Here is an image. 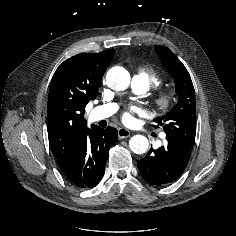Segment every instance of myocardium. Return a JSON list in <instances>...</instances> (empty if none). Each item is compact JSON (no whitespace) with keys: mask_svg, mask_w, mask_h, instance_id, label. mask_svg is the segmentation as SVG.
Segmentation results:
<instances>
[{"mask_svg":"<svg viewBox=\"0 0 236 236\" xmlns=\"http://www.w3.org/2000/svg\"><path fill=\"white\" fill-rule=\"evenodd\" d=\"M174 102V94L168 90L157 92L153 98V106L159 111L168 110Z\"/></svg>","mask_w":236,"mask_h":236,"instance_id":"1","label":"myocardium"}]
</instances>
